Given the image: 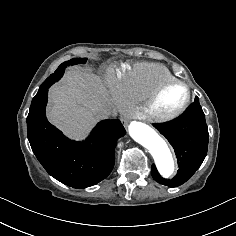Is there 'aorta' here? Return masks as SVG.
<instances>
[{"mask_svg": "<svg viewBox=\"0 0 236 236\" xmlns=\"http://www.w3.org/2000/svg\"><path fill=\"white\" fill-rule=\"evenodd\" d=\"M130 136L152 155L156 168L163 178H170L175 169L173 156L165 140L151 127L133 121L129 125Z\"/></svg>", "mask_w": 236, "mask_h": 236, "instance_id": "762f6f07", "label": "aorta"}]
</instances>
